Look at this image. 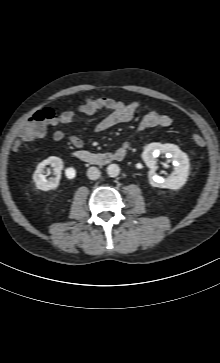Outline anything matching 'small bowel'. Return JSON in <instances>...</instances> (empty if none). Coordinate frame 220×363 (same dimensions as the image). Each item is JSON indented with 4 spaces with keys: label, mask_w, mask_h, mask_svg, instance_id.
<instances>
[{
    "label": "small bowel",
    "mask_w": 220,
    "mask_h": 363,
    "mask_svg": "<svg viewBox=\"0 0 220 363\" xmlns=\"http://www.w3.org/2000/svg\"><path fill=\"white\" fill-rule=\"evenodd\" d=\"M139 109L140 103L137 101L125 102L105 97L88 99L80 105L78 111H64L50 123L51 127L55 129L53 138L56 141L63 140L65 134L59 127L72 123L81 116H92L101 110H107L108 114L93 126L94 132H103L116 125L129 122ZM172 122L173 120L170 116L154 110H149L143 114L135 134L138 135L151 128H166L169 127ZM68 140L76 150L82 149L83 141L78 136L71 135ZM131 142L132 140L129 141V144Z\"/></svg>",
    "instance_id": "c3829d8e"
}]
</instances>
